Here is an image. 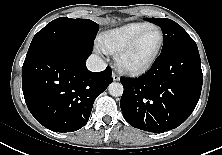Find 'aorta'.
I'll return each mask as SVG.
<instances>
[{
	"mask_svg": "<svg viewBox=\"0 0 222 155\" xmlns=\"http://www.w3.org/2000/svg\"><path fill=\"white\" fill-rule=\"evenodd\" d=\"M108 91L110 95H112L113 97L122 96L123 91H124L123 85L118 82H112L108 87Z\"/></svg>",
	"mask_w": 222,
	"mask_h": 155,
	"instance_id": "aorta-1",
	"label": "aorta"
}]
</instances>
